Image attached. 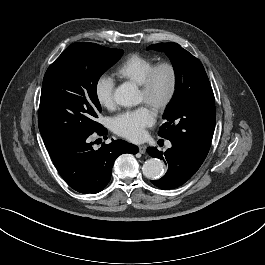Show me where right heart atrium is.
<instances>
[{
	"label": "right heart atrium",
	"instance_id": "right-heart-atrium-1",
	"mask_svg": "<svg viewBox=\"0 0 265 265\" xmlns=\"http://www.w3.org/2000/svg\"><path fill=\"white\" fill-rule=\"evenodd\" d=\"M115 81L107 75L101 74L94 83V94L98 104L110 109L114 106Z\"/></svg>",
	"mask_w": 265,
	"mask_h": 265
}]
</instances>
